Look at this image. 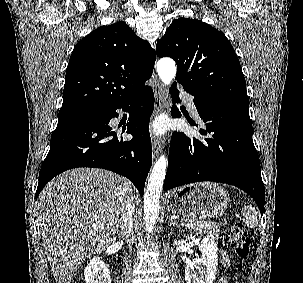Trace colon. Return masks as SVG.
Listing matches in <instances>:
<instances>
[{
    "label": "colon",
    "mask_w": 303,
    "mask_h": 283,
    "mask_svg": "<svg viewBox=\"0 0 303 283\" xmlns=\"http://www.w3.org/2000/svg\"><path fill=\"white\" fill-rule=\"evenodd\" d=\"M230 242L237 258L244 260L249 256L251 240L239 221H235L232 226Z\"/></svg>",
    "instance_id": "5ec220e1"
}]
</instances>
